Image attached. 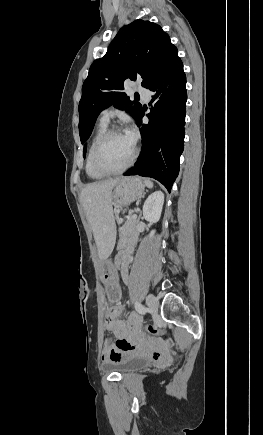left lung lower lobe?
<instances>
[{
	"label": "left lung lower lobe",
	"instance_id": "left-lung-lower-lobe-1",
	"mask_svg": "<svg viewBox=\"0 0 263 435\" xmlns=\"http://www.w3.org/2000/svg\"><path fill=\"white\" fill-rule=\"evenodd\" d=\"M159 87L155 95H160L159 101L147 114L149 123L142 124L143 109L137 120L141 127L143 148L134 167L124 175L155 178L170 192L179 173L185 136L186 76L180 58L161 79V83L154 84L149 90L156 91Z\"/></svg>",
	"mask_w": 263,
	"mask_h": 435
}]
</instances>
